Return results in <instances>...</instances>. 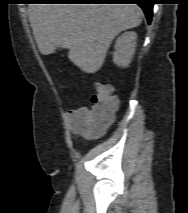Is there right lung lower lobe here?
Segmentation results:
<instances>
[{
  "mask_svg": "<svg viewBox=\"0 0 188 213\" xmlns=\"http://www.w3.org/2000/svg\"><path fill=\"white\" fill-rule=\"evenodd\" d=\"M47 1V0H46ZM70 3H136L144 11L148 23L151 22L153 12V0H69Z\"/></svg>",
  "mask_w": 188,
  "mask_h": 213,
  "instance_id": "obj_1",
  "label": "right lung lower lobe"
}]
</instances>
